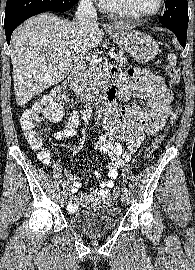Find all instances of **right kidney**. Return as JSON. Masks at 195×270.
<instances>
[{"label":"right kidney","instance_id":"ca27d5eb","mask_svg":"<svg viewBox=\"0 0 195 270\" xmlns=\"http://www.w3.org/2000/svg\"><path fill=\"white\" fill-rule=\"evenodd\" d=\"M43 115L52 123L60 122L64 115V108L60 103L52 102L43 109Z\"/></svg>","mask_w":195,"mask_h":270}]
</instances>
